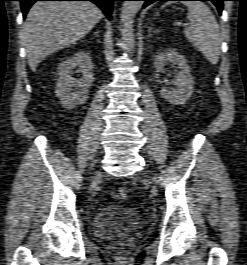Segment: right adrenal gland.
I'll return each instance as SVG.
<instances>
[{
  "mask_svg": "<svg viewBox=\"0 0 247 265\" xmlns=\"http://www.w3.org/2000/svg\"><path fill=\"white\" fill-rule=\"evenodd\" d=\"M94 34H95L96 36H99V31L97 30L96 32H94Z\"/></svg>",
  "mask_w": 247,
  "mask_h": 265,
  "instance_id": "2a0ac1e0",
  "label": "right adrenal gland"
}]
</instances>
